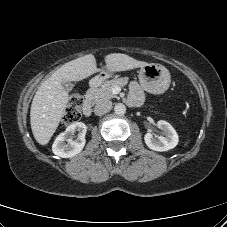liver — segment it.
<instances>
[{"instance_id": "1", "label": "liver", "mask_w": 227, "mask_h": 227, "mask_svg": "<svg viewBox=\"0 0 227 227\" xmlns=\"http://www.w3.org/2000/svg\"><path fill=\"white\" fill-rule=\"evenodd\" d=\"M104 60L107 70L111 72L127 71L148 64L121 53L108 54ZM97 71L94 55L88 54L65 63L41 84L30 110L32 133L39 144L46 145L50 141L64 115L68 93L62 83L81 81Z\"/></svg>"}]
</instances>
